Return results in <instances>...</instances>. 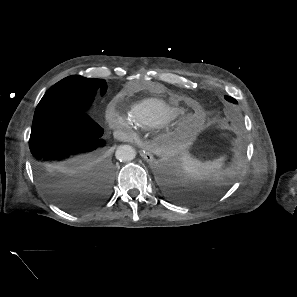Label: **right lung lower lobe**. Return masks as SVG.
I'll use <instances>...</instances> for the list:
<instances>
[{"label": "right lung lower lobe", "mask_w": 297, "mask_h": 297, "mask_svg": "<svg viewBox=\"0 0 297 297\" xmlns=\"http://www.w3.org/2000/svg\"><path fill=\"white\" fill-rule=\"evenodd\" d=\"M103 133L81 112L60 113L32 126L29 148L35 175L61 208L82 212L109 197L113 165Z\"/></svg>", "instance_id": "right-lung-lower-lobe-1"}]
</instances>
